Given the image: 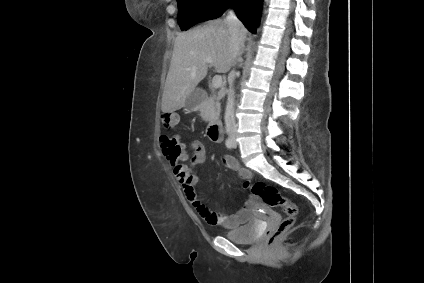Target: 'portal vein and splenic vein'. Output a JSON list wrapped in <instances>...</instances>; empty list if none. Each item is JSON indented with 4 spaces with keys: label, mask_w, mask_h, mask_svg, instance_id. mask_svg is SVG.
I'll return each mask as SVG.
<instances>
[{
    "label": "portal vein and splenic vein",
    "mask_w": 424,
    "mask_h": 283,
    "mask_svg": "<svg viewBox=\"0 0 424 283\" xmlns=\"http://www.w3.org/2000/svg\"><path fill=\"white\" fill-rule=\"evenodd\" d=\"M207 62H211V60H207ZM222 85V76L221 75H215L212 79V87L214 89H217L219 87H221Z\"/></svg>",
    "instance_id": "portal-vein-and-splenic-vein-1"
}]
</instances>
